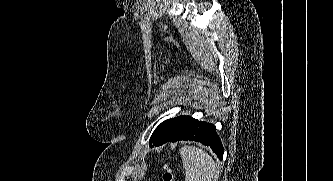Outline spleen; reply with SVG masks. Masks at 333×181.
<instances>
[{"mask_svg":"<svg viewBox=\"0 0 333 181\" xmlns=\"http://www.w3.org/2000/svg\"><path fill=\"white\" fill-rule=\"evenodd\" d=\"M185 181H217L219 169L213 158L204 150L194 146L180 149Z\"/></svg>","mask_w":333,"mask_h":181,"instance_id":"1","label":"spleen"}]
</instances>
